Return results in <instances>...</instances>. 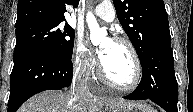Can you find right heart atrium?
I'll use <instances>...</instances> for the list:
<instances>
[{
    "mask_svg": "<svg viewBox=\"0 0 193 112\" xmlns=\"http://www.w3.org/2000/svg\"><path fill=\"white\" fill-rule=\"evenodd\" d=\"M72 64L74 70L81 75H89L94 67V60L90 56L85 44L79 39L75 45Z\"/></svg>",
    "mask_w": 193,
    "mask_h": 112,
    "instance_id": "obj_1",
    "label": "right heart atrium"
}]
</instances>
